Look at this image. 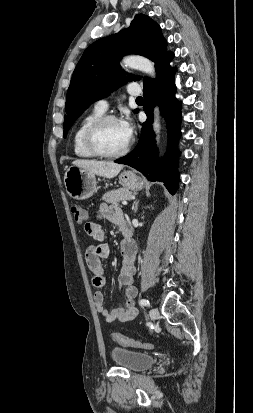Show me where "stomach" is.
<instances>
[{
    "mask_svg": "<svg viewBox=\"0 0 253 413\" xmlns=\"http://www.w3.org/2000/svg\"><path fill=\"white\" fill-rule=\"evenodd\" d=\"M119 183L125 190H140L143 188V180L132 171H123L119 175ZM96 177L94 174L77 167L70 166L64 174V185L68 195L77 200H85L96 192Z\"/></svg>",
    "mask_w": 253,
    "mask_h": 413,
    "instance_id": "obj_1",
    "label": "stomach"
}]
</instances>
